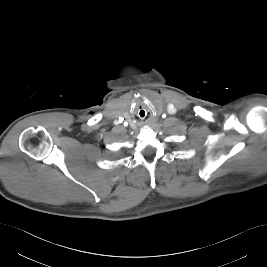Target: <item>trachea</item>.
I'll return each instance as SVG.
<instances>
[{"mask_svg":"<svg viewBox=\"0 0 267 267\" xmlns=\"http://www.w3.org/2000/svg\"><path fill=\"white\" fill-rule=\"evenodd\" d=\"M137 115L141 120H144L147 117L146 112H145L144 109L138 110Z\"/></svg>","mask_w":267,"mask_h":267,"instance_id":"trachea-1","label":"trachea"}]
</instances>
